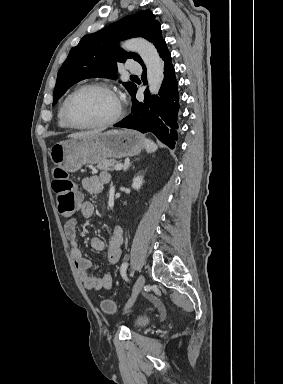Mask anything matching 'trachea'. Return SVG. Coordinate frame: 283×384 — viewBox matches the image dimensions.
Masks as SVG:
<instances>
[{
    "instance_id": "3493384b",
    "label": "trachea",
    "mask_w": 283,
    "mask_h": 384,
    "mask_svg": "<svg viewBox=\"0 0 283 384\" xmlns=\"http://www.w3.org/2000/svg\"><path fill=\"white\" fill-rule=\"evenodd\" d=\"M130 77H136V75H130Z\"/></svg>"
}]
</instances>
